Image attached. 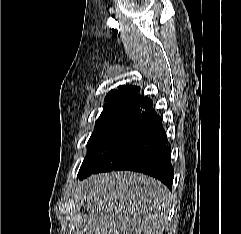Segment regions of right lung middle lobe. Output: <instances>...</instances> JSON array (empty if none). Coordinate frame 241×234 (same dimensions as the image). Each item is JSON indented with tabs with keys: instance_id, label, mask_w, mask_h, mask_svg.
Here are the masks:
<instances>
[{
	"instance_id": "obj_1",
	"label": "right lung middle lobe",
	"mask_w": 241,
	"mask_h": 234,
	"mask_svg": "<svg viewBox=\"0 0 241 234\" xmlns=\"http://www.w3.org/2000/svg\"><path fill=\"white\" fill-rule=\"evenodd\" d=\"M136 105H107L98 118L94 132L87 143V155L81 165L80 171L100 146V144L132 113ZM79 171V172H80Z\"/></svg>"
}]
</instances>
